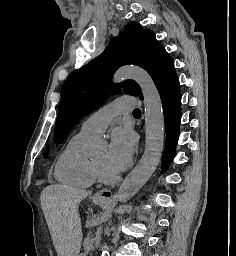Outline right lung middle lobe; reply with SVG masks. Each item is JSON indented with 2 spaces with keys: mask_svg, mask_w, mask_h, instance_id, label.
<instances>
[{
  "mask_svg": "<svg viewBox=\"0 0 236 256\" xmlns=\"http://www.w3.org/2000/svg\"><path fill=\"white\" fill-rule=\"evenodd\" d=\"M48 153H49V148L47 147V148L45 149V152H44V157H45V158L48 156Z\"/></svg>",
  "mask_w": 236,
  "mask_h": 256,
  "instance_id": "right-lung-middle-lobe-1",
  "label": "right lung middle lobe"
}]
</instances>
